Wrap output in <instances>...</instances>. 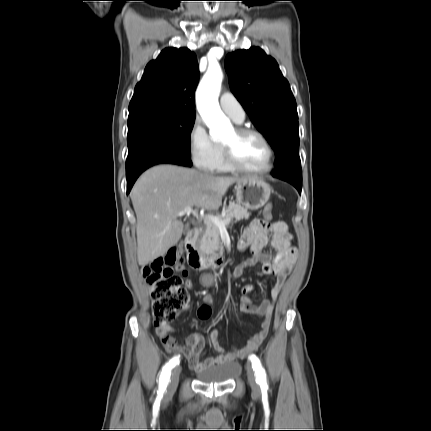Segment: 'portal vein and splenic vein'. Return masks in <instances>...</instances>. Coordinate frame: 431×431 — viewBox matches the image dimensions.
I'll return each mask as SVG.
<instances>
[{"label": "portal vein and splenic vein", "mask_w": 431, "mask_h": 431, "mask_svg": "<svg viewBox=\"0 0 431 431\" xmlns=\"http://www.w3.org/2000/svg\"><path fill=\"white\" fill-rule=\"evenodd\" d=\"M185 214H193L195 217H198V212L195 211V210H193V208L191 206H188L184 210L178 212L176 214V216L177 217H182ZM203 219L205 221H212L219 228L225 227V225L230 222V219L220 220L218 217H216V216H210V215L203 216Z\"/></svg>", "instance_id": "18ae733b"}]
</instances>
